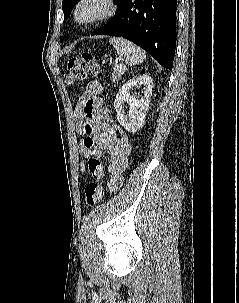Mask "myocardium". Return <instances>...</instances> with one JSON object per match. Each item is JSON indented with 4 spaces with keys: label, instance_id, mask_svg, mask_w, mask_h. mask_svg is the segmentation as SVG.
Listing matches in <instances>:
<instances>
[{
    "label": "myocardium",
    "instance_id": "f54148a6",
    "mask_svg": "<svg viewBox=\"0 0 239 303\" xmlns=\"http://www.w3.org/2000/svg\"><path fill=\"white\" fill-rule=\"evenodd\" d=\"M97 2L101 5L100 11L93 17L82 19L80 12L83 6L88 2ZM118 11V3L116 0H79L73 10V18L80 25H92L104 20L112 18Z\"/></svg>",
    "mask_w": 239,
    "mask_h": 303
}]
</instances>
